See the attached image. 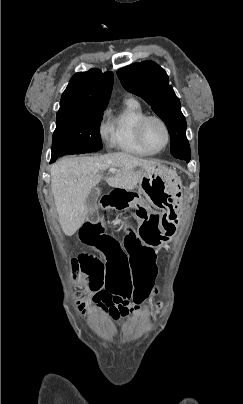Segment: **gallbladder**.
Wrapping results in <instances>:
<instances>
[{
	"instance_id": "1",
	"label": "gallbladder",
	"mask_w": 243,
	"mask_h": 404,
	"mask_svg": "<svg viewBox=\"0 0 243 404\" xmlns=\"http://www.w3.org/2000/svg\"><path fill=\"white\" fill-rule=\"evenodd\" d=\"M100 196V192L98 188H92L91 192H89L86 198V218L89 219L90 225H95L98 213L96 211L97 200Z\"/></svg>"
}]
</instances>
